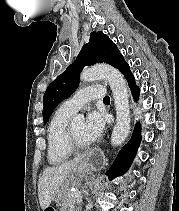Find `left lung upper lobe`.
Listing matches in <instances>:
<instances>
[{"instance_id": "obj_1", "label": "left lung upper lobe", "mask_w": 179, "mask_h": 211, "mask_svg": "<svg viewBox=\"0 0 179 211\" xmlns=\"http://www.w3.org/2000/svg\"><path fill=\"white\" fill-rule=\"evenodd\" d=\"M122 59L123 56L107 35L102 32H92L89 42L83 46L76 60L46 89L43 98L44 124L54 108L76 90L79 85V74L84 66L108 63L117 67Z\"/></svg>"}]
</instances>
